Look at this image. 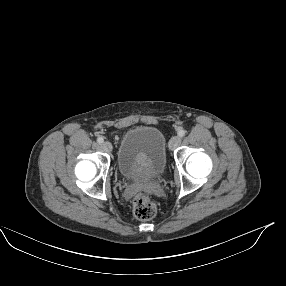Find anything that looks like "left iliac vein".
I'll use <instances>...</instances> for the list:
<instances>
[{"instance_id": "obj_1", "label": "left iliac vein", "mask_w": 286, "mask_h": 286, "mask_svg": "<svg viewBox=\"0 0 286 286\" xmlns=\"http://www.w3.org/2000/svg\"><path fill=\"white\" fill-rule=\"evenodd\" d=\"M181 142V138L179 136H174L171 138L169 142V149L173 150L175 149Z\"/></svg>"}]
</instances>
